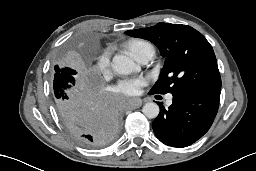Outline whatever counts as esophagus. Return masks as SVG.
Here are the masks:
<instances>
[{
    "label": "esophagus",
    "instance_id": "34e87169",
    "mask_svg": "<svg viewBox=\"0 0 256 171\" xmlns=\"http://www.w3.org/2000/svg\"><path fill=\"white\" fill-rule=\"evenodd\" d=\"M141 105H142V100L140 99L130 100L127 104L129 109H136V108H139Z\"/></svg>",
    "mask_w": 256,
    "mask_h": 171
}]
</instances>
